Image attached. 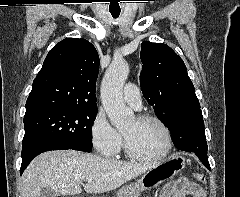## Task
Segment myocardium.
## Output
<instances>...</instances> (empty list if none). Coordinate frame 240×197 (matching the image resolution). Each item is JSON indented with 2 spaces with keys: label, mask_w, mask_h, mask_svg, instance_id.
<instances>
[{
  "label": "myocardium",
  "mask_w": 240,
  "mask_h": 197,
  "mask_svg": "<svg viewBox=\"0 0 240 197\" xmlns=\"http://www.w3.org/2000/svg\"><path fill=\"white\" fill-rule=\"evenodd\" d=\"M136 119L138 121H153V122H156L158 125H160L165 133L166 147L164 151L158 155L146 156L138 153L130 144L127 136L123 134V145H124V151L126 155L133 159H136L139 161H146V162H155V161H159L166 158L170 154L173 147V138H172V133L169 126L160 117L153 114L143 113L136 116Z\"/></svg>",
  "instance_id": "1"
}]
</instances>
